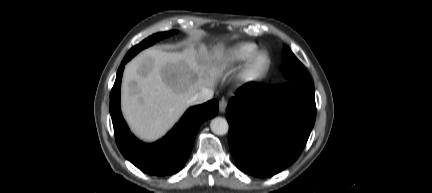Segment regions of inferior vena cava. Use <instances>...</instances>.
<instances>
[{"label": "inferior vena cava", "mask_w": 432, "mask_h": 193, "mask_svg": "<svg viewBox=\"0 0 432 193\" xmlns=\"http://www.w3.org/2000/svg\"><path fill=\"white\" fill-rule=\"evenodd\" d=\"M213 97V91L209 88H204L200 92H197L194 96H192L188 103L191 105L202 104Z\"/></svg>", "instance_id": "obj_1"}]
</instances>
